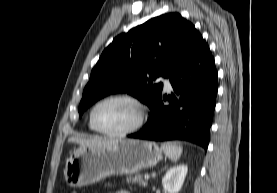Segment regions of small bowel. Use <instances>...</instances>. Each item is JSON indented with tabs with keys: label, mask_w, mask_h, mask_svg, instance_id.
I'll return each instance as SVG.
<instances>
[{
	"label": "small bowel",
	"mask_w": 277,
	"mask_h": 193,
	"mask_svg": "<svg viewBox=\"0 0 277 193\" xmlns=\"http://www.w3.org/2000/svg\"><path fill=\"white\" fill-rule=\"evenodd\" d=\"M111 193H130V192L126 191V190H118V191L111 192Z\"/></svg>",
	"instance_id": "small-bowel-1"
}]
</instances>
